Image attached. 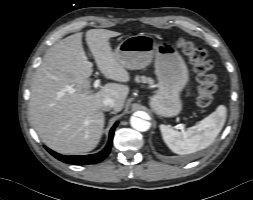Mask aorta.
<instances>
[{
	"instance_id": "obj_1",
	"label": "aorta",
	"mask_w": 253,
	"mask_h": 200,
	"mask_svg": "<svg viewBox=\"0 0 253 200\" xmlns=\"http://www.w3.org/2000/svg\"><path fill=\"white\" fill-rule=\"evenodd\" d=\"M131 126L136 129L137 131L145 132L150 128V122L138 118V117H131L130 119Z\"/></svg>"
}]
</instances>
